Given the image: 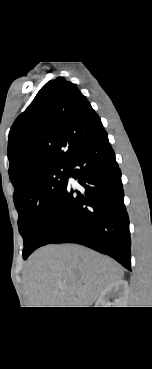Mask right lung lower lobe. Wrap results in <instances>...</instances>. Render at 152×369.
Returning a JSON list of instances; mask_svg holds the SVG:
<instances>
[{"mask_svg":"<svg viewBox=\"0 0 152 369\" xmlns=\"http://www.w3.org/2000/svg\"><path fill=\"white\" fill-rule=\"evenodd\" d=\"M68 165L82 186L66 185L40 246L78 243L106 254L131 270L128 214L121 172L103 129L81 146Z\"/></svg>","mask_w":152,"mask_h":369,"instance_id":"98d812e1","label":"right lung lower lobe"}]
</instances>
